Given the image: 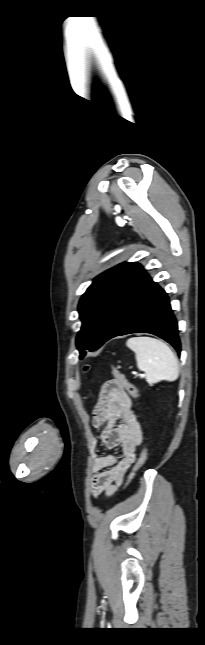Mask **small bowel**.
I'll list each match as a JSON object with an SVG mask.
<instances>
[{"mask_svg": "<svg viewBox=\"0 0 205 645\" xmlns=\"http://www.w3.org/2000/svg\"><path fill=\"white\" fill-rule=\"evenodd\" d=\"M93 426H104L99 439L105 449H121V455H99L96 452L98 437L92 434L89 438L92 470L95 473L92 494L95 497L101 494L110 497L121 485L143 440L132 401L125 391L110 390L107 382L102 386L93 413Z\"/></svg>", "mask_w": 205, "mask_h": 645, "instance_id": "1", "label": "small bowel"}]
</instances>
